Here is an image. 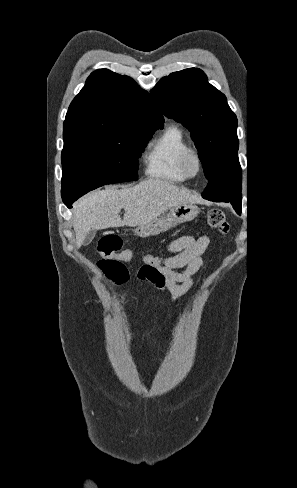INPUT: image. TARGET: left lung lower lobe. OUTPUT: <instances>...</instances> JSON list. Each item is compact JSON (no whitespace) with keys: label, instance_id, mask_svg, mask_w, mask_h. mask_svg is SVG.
<instances>
[{"label":"left lung lower lobe","instance_id":"left-lung-lower-lobe-1","mask_svg":"<svg viewBox=\"0 0 297 488\" xmlns=\"http://www.w3.org/2000/svg\"><path fill=\"white\" fill-rule=\"evenodd\" d=\"M236 212H237L238 214H240V213H241V210H240V209H238V210H236Z\"/></svg>","mask_w":297,"mask_h":488}]
</instances>
